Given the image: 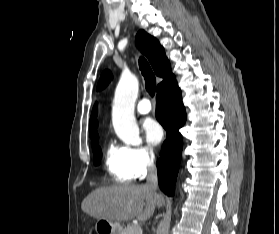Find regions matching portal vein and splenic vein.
I'll use <instances>...</instances> for the list:
<instances>
[{
	"label": "portal vein and splenic vein",
	"mask_w": 279,
	"mask_h": 234,
	"mask_svg": "<svg viewBox=\"0 0 279 234\" xmlns=\"http://www.w3.org/2000/svg\"><path fill=\"white\" fill-rule=\"evenodd\" d=\"M135 231H139V232H141V234H142V229H141L140 226H137L136 229H135Z\"/></svg>",
	"instance_id": "18ae733b"
}]
</instances>
